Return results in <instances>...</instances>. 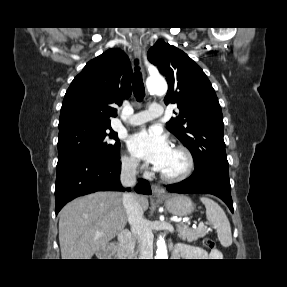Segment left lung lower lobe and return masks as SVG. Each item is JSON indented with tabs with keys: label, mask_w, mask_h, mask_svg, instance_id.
<instances>
[{
	"label": "left lung lower lobe",
	"mask_w": 287,
	"mask_h": 287,
	"mask_svg": "<svg viewBox=\"0 0 287 287\" xmlns=\"http://www.w3.org/2000/svg\"><path fill=\"white\" fill-rule=\"evenodd\" d=\"M169 192L192 193V194H212L222 199L231 212H233V202L231 198V185L229 175L222 173H209L201 176H190L188 179L166 186Z\"/></svg>",
	"instance_id": "0a47b994"
}]
</instances>
